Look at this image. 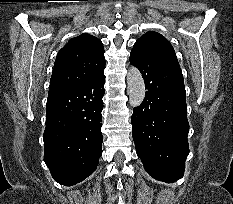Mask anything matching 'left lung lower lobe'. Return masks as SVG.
Returning <instances> with one entry per match:
<instances>
[{
    "label": "left lung lower lobe",
    "instance_id": "1",
    "mask_svg": "<svg viewBox=\"0 0 233 204\" xmlns=\"http://www.w3.org/2000/svg\"><path fill=\"white\" fill-rule=\"evenodd\" d=\"M130 63L140 70L148 90L131 117L137 155L155 179L177 181L184 174L189 154L186 91L181 69L133 50Z\"/></svg>",
    "mask_w": 233,
    "mask_h": 204
}]
</instances>
